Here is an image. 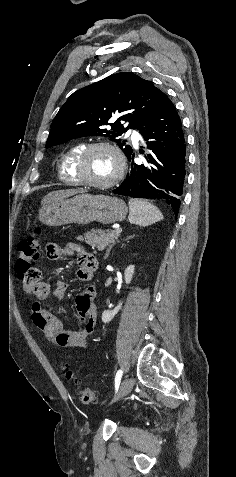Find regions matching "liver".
<instances>
[{
	"instance_id": "1",
	"label": "liver",
	"mask_w": 236,
	"mask_h": 477,
	"mask_svg": "<svg viewBox=\"0 0 236 477\" xmlns=\"http://www.w3.org/2000/svg\"><path fill=\"white\" fill-rule=\"evenodd\" d=\"M77 193H84L83 190H58L48 193L41 201L42 206H47L50 204L58 203L63 201L64 199L73 196Z\"/></svg>"
}]
</instances>
